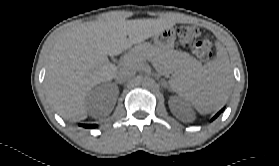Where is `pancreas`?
Segmentation results:
<instances>
[{
  "mask_svg": "<svg viewBox=\"0 0 279 166\" xmlns=\"http://www.w3.org/2000/svg\"><path fill=\"white\" fill-rule=\"evenodd\" d=\"M145 60L153 62L164 73H186L197 70L201 64L182 51L162 50L149 43L138 44L123 59L125 67L138 70Z\"/></svg>",
  "mask_w": 279,
  "mask_h": 166,
  "instance_id": "1",
  "label": "pancreas"
}]
</instances>
